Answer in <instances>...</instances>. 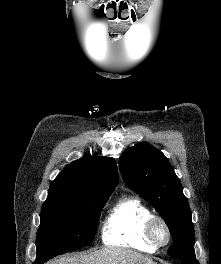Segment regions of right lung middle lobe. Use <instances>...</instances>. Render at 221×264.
I'll use <instances>...</instances> for the list:
<instances>
[{"label": "right lung middle lobe", "mask_w": 221, "mask_h": 264, "mask_svg": "<svg viewBox=\"0 0 221 264\" xmlns=\"http://www.w3.org/2000/svg\"><path fill=\"white\" fill-rule=\"evenodd\" d=\"M110 195H96L71 202L47 199L41 209L36 261L45 262L91 243L101 210Z\"/></svg>", "instance_id": "right-lung-middle-lobe-1"}]
</instances>
